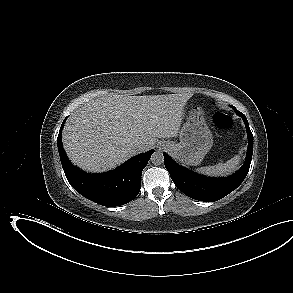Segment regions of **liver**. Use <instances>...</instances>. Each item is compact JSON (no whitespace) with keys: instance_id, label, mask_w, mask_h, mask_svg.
<instances>
[{"instance_id":"liver-1","label":"liver","mask_w":293,"mask_h":293,"mask_svg":"<svg viewBox=\"0 0 293 293\" xmlns=\"http://www.w3.org/2000/svg\"><path fill=\"white\" fill-rule=\"evenodd\" d=\"M192 93L91 99L76 109L62 133L65 152L82 170L100 173L116 168L158 138L177 137L183 109ZM148 149V150H149Z\"/></svg>"}]
</instances>
